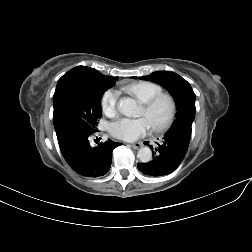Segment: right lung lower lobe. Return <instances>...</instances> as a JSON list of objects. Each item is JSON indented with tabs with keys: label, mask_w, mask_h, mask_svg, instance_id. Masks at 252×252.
I'll list each match as a JSON object with an SVG mask.
<instances>
[{
	"label": "right lung lower lobe",
	"mask_w": 252,
	"mask_h": 252,
	"mask_svg": "<svg viewBox=\"0 0 252 252\" xmlns=\"http://www.w3.org/2000/svg\"><path fill=\"white\" fill-rule=\"evenodd\" d=\"M89 132L81 129H68L57 134L61 153L68 165L78 174L86 177L105 175L112 163L113 150L121 143L108 140L91 147Z\"/></svg>",
	"instance_id": "1"
}]
</instances>
